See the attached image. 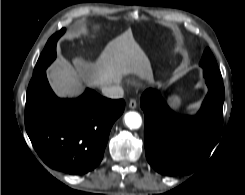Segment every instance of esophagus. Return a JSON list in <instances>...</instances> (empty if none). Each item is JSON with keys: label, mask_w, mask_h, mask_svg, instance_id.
Returning <instances> with one entry per match:
<instances>
[{"label": "esophagus", "mask_w": 245, "mask_h": 195, "mask_svg": "<svg viewBox=\"0 0 245 195\" xmlns=\"http://www.w3.org/2000/svg\"><path fill=\"white\" fill-rule=\"evenodd\" d=\"M129 107H130L131 109H135V108L137 107V102H136L135 99H131V100L129 101Z\"/></svg>", "instance_id": "34e87169"}]
</instances>
